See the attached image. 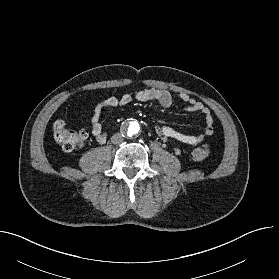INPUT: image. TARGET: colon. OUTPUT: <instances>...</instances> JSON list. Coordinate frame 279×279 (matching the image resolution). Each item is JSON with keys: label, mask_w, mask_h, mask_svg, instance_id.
<instances>
[{"label": "colon", "mask_w": 279, "mask_h": 279, "mask_svg": "<svg viewBox=\"0 0 279 279\" xmlns=\"http://www.w3.org/2000/svg\"><path fill=\"white\" fill-rule=\"evenodd\" d=\"M53 137L65 151H72L81 148L87 137L85 130H72L62 120L57 121L53 128ZM209 145L204 143L192 151V158L196 161L204 160L209 154Z\"/></svg>", "instance_id": "5ec220e1"}]
</instances>
